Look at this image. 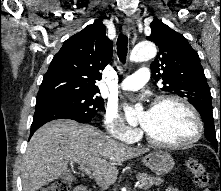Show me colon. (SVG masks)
<instances>
[{"label": "colon", "mask_w": 221, "mask_h": 191, "mask_svg": "<svg viewBox=\"0 0 221 191\" xmlns=\"http://www.w3.org/2000/svg\"><path fill=\"white\" fill-rule=\"evenodd\" d=\"M187 166L194 176L195 183L198 187H204L208 182V172L204 164L196 159H189ZM42 191H71V185L68 181L59 180ZM205 191H215L214 189H206Z\"/></svg>", "instance_id": "obj_1"}]
</instances>
